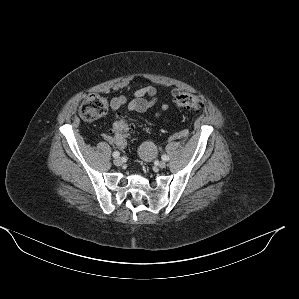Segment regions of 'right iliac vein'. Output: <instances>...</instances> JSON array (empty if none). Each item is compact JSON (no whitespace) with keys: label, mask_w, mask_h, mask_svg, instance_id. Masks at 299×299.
<instances>
[{"label":"right iliac vein","mask_w":299,"mask_h":299,"mask_svg":"<svg viewBox=\"0 0 299 299\" xmlns=\"http://www.w3.org/2000/svg\"><path fill=\"white\" fill-rule=\"evenodd\" d=\"M113 162L116 166L122 165V159L120 157H116Z\"/></svg>","instance_id":"1"}]
</instances>
